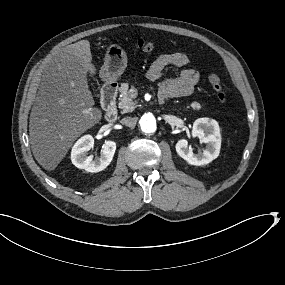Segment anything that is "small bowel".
Returning <instances> with one entry per match:
<instances>
[{"label":"small bowel","instance_id":"c3829d8e","mask_svg":"<svg viewBox=\"0 0 285 285\" xmlns=\"http://www.w3.org/2000/svg\"><path fill=\"white\" fill-rule=\"evenodd\" d=\"M190 63L189 57L182 52L159 54L152 62L147 77L156 81L170 66L184 67ZM200 79L199 73L191 68L183 69L177 77L167 78L160 84L161 99L187 96L191 94Z\"/></svg>","mask_w":285,"mask_h":285}]
</instances>
